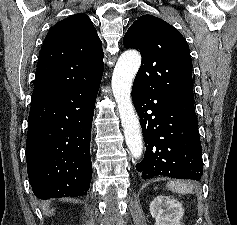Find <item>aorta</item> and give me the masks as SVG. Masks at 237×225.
<instances>
[{"instance_id":"762f6f07","label":"aorta","mask_w":237,"mask_h":225,"mask_svg":"<svg viewBox=\"0 0 237 225\" xmlns=\"http://www.w3.org/2000/svg\"><path fill=\"white\" fill-rule=\"evenodd\" d=\"M141 64L137 51H125L119 57L112 76V91L120 114L126 145L135 159L143 152L141 126L131 100V87Z\"/></svg>"}]
</instances>
